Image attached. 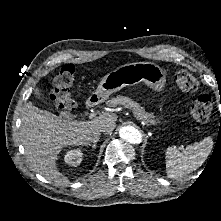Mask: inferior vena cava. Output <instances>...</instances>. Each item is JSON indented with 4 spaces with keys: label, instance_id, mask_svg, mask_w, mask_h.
Here are the masks:
<instances>
[{
    "label": "inferior vena cava",
    "instance_id": "obj_1",
    "mask_svg": "<svg viewBox=\"0 0 221 221\" xmlns=\"http://www.w3.org/2000/svg\"><path fill=\"white\" fill-rule=\"evenodd\" d=\"M101 132H105L103 127H98L92 130V134L94 137L98 136Z\"/></svg>",
    "mask_w": 221,
    "mask_h": 221
}]
</instances>
